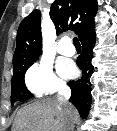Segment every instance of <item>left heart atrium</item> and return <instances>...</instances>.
<instances>
[{"instance_id":"obj_1","label":"left heart atrium","mask_w":117,"mask_h":131,"mask_svg":"<svg viewBox=\"0 0 117 131\" xmlns=\"http://www.w3.org/2000/svg\"><path fill=\"white\" fill-rule=\"evenodd\" d=\"M59 72L64 77H72L76 73V68L70 62H62L59 65Z\"/></svg>"}]
</instances>
